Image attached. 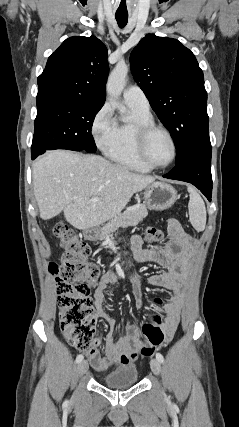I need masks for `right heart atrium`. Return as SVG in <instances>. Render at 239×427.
<instances>
[{"instance_id": "obj_1", "label": "right heart atrium", "mask_w": 239, "mask_h": 427, "mask_svg": "<svg viewBox=\"0 0 239 427\" xmlns=\"http://www.w3.org/2000/svg\"><path fill=\"white\" fill-rule=\"evenodd\" d=\"M116 130V120L108 104H105L94 116L91 132L96 145L105 150L111 142Z\"/></svg>"}]
</instances>
